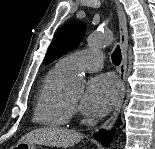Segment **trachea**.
I'll use <instances>...</instances> for the list:
<instances>
[{"mask_svg":"<svg viewBox=\"0 0 155 149\" xmlns=\"http://www.w3.org/2000/svg\"><path fill=\"white\" fill-rule=\"evenodd\" d=\"M112 62L114 65H119L121 62V50L119 46H117L114 52L112 53Z\"/></svg>","mask_w":155,"mask_h":149,"instance_id":"3493384b","label":"trachea"}]
</instances>
